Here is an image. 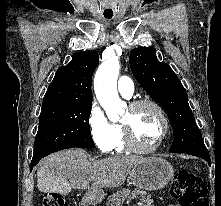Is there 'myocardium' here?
<instances>
[{"mask_svg":"<svg viewBox=\"0 0 221 206\" xmlns=\"http://www.w3.org/2000/svg\"><path fill=\"white\" fill-rule=\"evenodd\" d=\"M144 105L153 107L159 114L161 121H162V131H161L160 137L158 138V140L156 141L154 145L150 147H146V148L140 147L136 143L130 127L124 123H121V128L123 130L125 145L127 149L134 153H139V154H149V153L155 152L163 144L169 132V121H168L167 115L164 109L162 108V106L158 102L149 98H143V99H139L130 103L129 109L136 110Z\"/></svg>","mask_w":221,"mask_h":206,"instance_id":"myocardium-1","label":"myocardium"}]
</instances>
